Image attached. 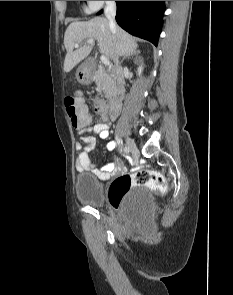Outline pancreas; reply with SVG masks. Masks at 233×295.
I'll return each instance as SVG.
<instances>
[{
  "label": "pancreas",
  "instance_id": "cf45deb5",
  "mask_svg": "<svg viewBox=\"0 0 233 295\" xmlns=\"http://www.w3.org/2000/svg\"><path fill=\"white\" fill-rule=\"evenodd\" d=\"M97 89L105 94L106 98H112L116 91L115 79L103 69L98 70L95 77Z\"/></svg>",
  "mask_w": 233,
  "mask_h": 295
}]
</instances>
